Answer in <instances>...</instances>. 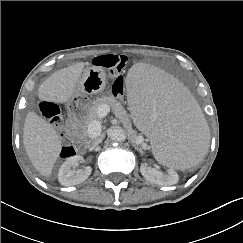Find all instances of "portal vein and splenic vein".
<instances>
[{
	"label": "portal vein and splenic vein",
	"mask_w": 243,
	"mask_h": 243,
	"mask_svg": "<svg viewBox=\"0 0 243 243\" xmlns=\"http://www.w3.org/2000/svg\"><path fill=\"white\" fill-rule=\"evenodd\" d=\"M110 112V107L108 105H101L98 108V116L104 117ZM101 132V124L99 121L94 120L88 126V134L90 137L98 136Z\"/></svg>",
	"instance_id": "1"
}]
</instances>
